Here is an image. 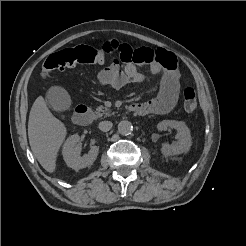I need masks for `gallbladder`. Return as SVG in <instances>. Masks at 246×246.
Wrapping results in <instances>:
<instances>
[{
    "mask_svg": "<svg viewBox=\"0 0 246 246\" xmlns=\"http://www.w3.org/2000/svg\"><path fill=\"white\" fill-rule=\"evenodd\" d=\"M46 101L48 105L57 112L68 110L72 103L68 92L60 86H53L48 90Z\"/></svg>",
    "mask_w": 246,
    "mask_h": 246,
    "instance_id": "1",
    "label": "gallbladder"
}]
</instances>
